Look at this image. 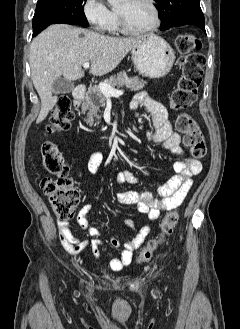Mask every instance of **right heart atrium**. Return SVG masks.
Listing matches in <instances>:
<instances>
[{"label": "right heart atrium", "instance_id": "obj_1", "mask_svg": "<svg viewBox=\"0 0 240 329\" xmlns=\"http://www.w3.org/2000/svg\"><path fill=\"white\" fill-rule=\"evenodd\" d=\"M83 14L97 32L108 30L113 20V12L107 7L104 0H85Z\"/></svg>", "mask_w": 240, "mask_h": 329}]
</instances>
